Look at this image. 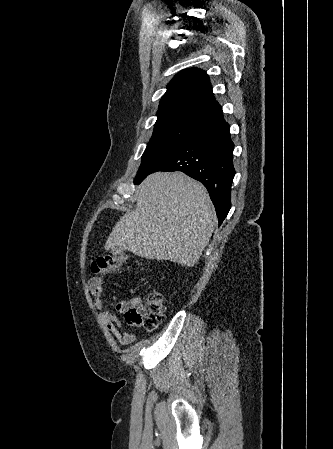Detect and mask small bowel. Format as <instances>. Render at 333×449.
I'll use <instances>...</instances> for the list:
<instances>
[{
	"instance_id": "c3829d8e",
	"label": "small bowel",
	"mask_w": 333,
	"mask_h": 449,
	"mask_svg": "<svg viewBox=\"0 0 333 449\" xmlns=\"http://www.w3.org/2000/svg\"><path fill=\"white\" fill-rule=\"evenodd\" d=\"M88 285L95 305L100 311L99 318L108 328L115 340L122 345L133 343L136 340V335L134 333L122 330L121 324L118 319L111 312L105 310L104 308L102 299L103 278L100 275H95L90 278ZM137 300V298H133L130 300H121L116 304V310L121 313L125 312L129 305L133 302H136Z\"/></svg>"
}]
</instances>
